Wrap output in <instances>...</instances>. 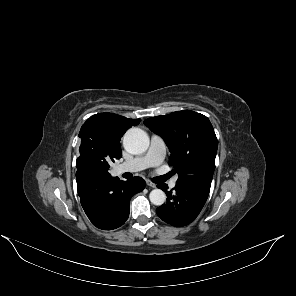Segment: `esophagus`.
<instances>
[{"label":"esophagus","instance_id":"obj_1","mask_svg":"<svg viewBox=\"0 0 296 296\" xmlns=\"http://www.w3.org/2000/svg\"><path fill=\"white\" fill-rule=\"evenodd\" d=\"M146 184H147L148 186L152 187V188H156V184L153 183V182L150 181V180H147V181H146Z\"/></svg>","mask_w":296,"mask_h":296}]
</instances>
